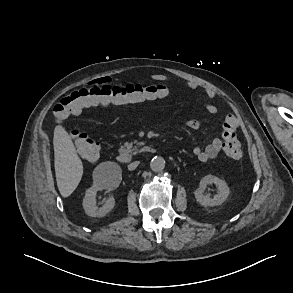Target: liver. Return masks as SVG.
Masks as SVG:
<instances>
[{"mask_svg": "<svg viewBox=\"0 0 293 293\" xmlns=\"http://www.w3.org/2000/svg\"><path fill=\"white\" fill-rule=\"evenodd\" d=\"M53 145L57 186L60 194L68 197L81 181L83 164L71 137L62 126L55 128Z\"/></svg>", "mask_w": 293, "mask_h": 293, "instance_id": "1", "label": "liver"}]
</instances>
